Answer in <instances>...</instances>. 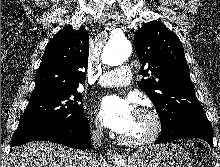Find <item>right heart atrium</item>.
Here are the masks:
<instances>
[{
  "label": "right heart atrium",
  "instance_id": "obj_1",
  "mask_svg": "<svg viewBox=\"0 0 220 167\" xmlns=\"http://www.w3.org/2000/svg\"><path fill=\"white\" fill-rule=\"evenodd\" d=\"M91 130L93 133L98 134L102 131V125L97 120H95Z\"/></svg>",
  "mask_w": 220,
  "mask_h": 167
}]
</instances>
